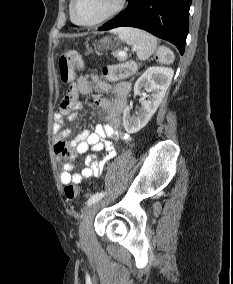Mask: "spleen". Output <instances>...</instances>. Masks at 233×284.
I'll use <instances>...</instances> for the list:
<instances>
[{"label": "spleen", "mask_w": 233, "mask_h": 284, "mask_svg": "<svg viewBox=\"0 0 233 284\" xmlns=\"http://www.w3.org/2000/svg\"><path fill=\"white\" fill-rule=\"evenodd\" d=\"M114 32L118 34L121 41H124L136 50L137 57L140 60L148 59L155 51H157L161 62H167L174 58V54L169 48L165 46L157 48L156 38L146 31L122 27L116 29Z\"/></svg>", "instance_id": "3e777b00"}]
</instances>
